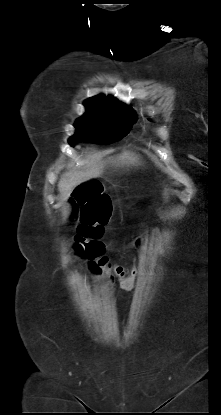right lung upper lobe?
I'll return each instance as SVG.
<instances>
[{
    "label": "right lung upper lobe",
    "mask_w": 221,
    "mask_h": 415,
    "mask_svg": "<svg viewBox=\"0 0 221 415\" xmlns=\"http://www.w3.org/2000/svg\"><path fill=\"white\" fill-rule=\"evenodd\" d=\"M84 105L93 108L128 111L130 113H134L130 107L120 103L116 98L112 96L106 97L102 94L87 99Z\"/></svg>",
    "instance_id": "right-lung-upper-lobe-1"
}]
</instances>
